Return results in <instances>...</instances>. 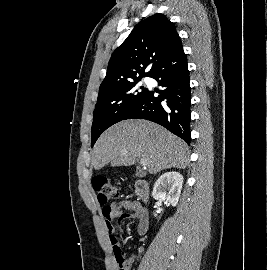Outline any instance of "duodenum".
<instances>
[{
	"instance_id": "duodenum-1",
	"label": "duodenum",
	"mask_w": 267,
	"mask_h": 270,
	"mask_svg": "<svg viewBox=\"0 0 267 270\" xmlns=\"http://www.w3.org/2000/svg\"><path fill=\"white\" fill-rule=\"evenodd\" d=\"M135 187L137 190L138 199L141 202H147L149 199L148 183L142 178H135Z\"/></svg>"
}]
</instances>
